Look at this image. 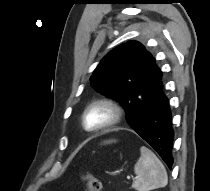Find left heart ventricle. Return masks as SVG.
<instances>
[{
	"instance_id": "1",
	"label": "left heart ventricle",
	"mask_w": 210,
	"mask_h": 191,
	"mask_svg": "<svg viewBox=\"0 0 210 191\" xmlns=\"http://www.w3.org/2000/svg\"><path fill=\"white\" fill-rule=\"evenodd\" d=\"M111 118V112L103 107L98 106L90 109L85 117V125L87 128H97L107 123Z\"/></svg>"
}]
</instances>
